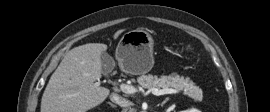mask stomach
<instances>
[{"label":"stomach","instance_id":"stomach-1","mask_svg":"<svg viewBox=\"0 0 270 112\" xmlns=\"http://www.w3.org/2000/svg\"><path fill=\"white\" fill-rule=\"evenodd\" d=\"M153 39L144 30H132L125 33L118 43L115 57L122 71L140 75L153 67Z\"/></svg>","mask_w":270,"mask_h":112}]
</instances>
